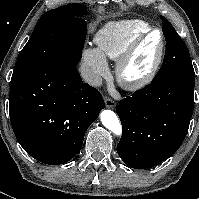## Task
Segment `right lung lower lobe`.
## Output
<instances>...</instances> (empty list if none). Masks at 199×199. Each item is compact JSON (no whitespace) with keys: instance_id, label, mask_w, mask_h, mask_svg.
Segmentation results:
<instances>
[{"instance_id":"98d812e1","label":"right lung lower lobe","mask_w":199,"mask_h":199,"mask_svg":"<svg viewBox=\"0 0 199 199\" xmlns=\"http://www.w3.org/2000/svg\"><path fill=\"white\" fill-rule=\"evenodd\" d=\"M104 107L101 94L82 82L77 66L60 60L10 85L9 113L15 136L29 155L45 164L72 159Z\"/></svg>"}]
</instances>
